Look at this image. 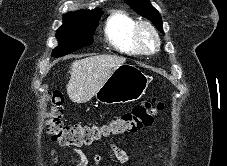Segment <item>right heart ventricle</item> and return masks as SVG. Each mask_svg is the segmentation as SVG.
Instances as JSON below:
<instances>
[{
  "label": "right heart ventricle",
  "instance_id": "obj_1",
  "mask_svg": "<svg viewBox=\"0 0 227 166\" xmlns=\"http://www.w3.org/2000/svg\"><path fill=\"white\" fill-rule=\"evenodd\" d=\"M136 24L137 20L129 13L121 10L113 12L105 22L106 40L121 53L142 54L133 40V30Z\"/></svg>",
  "mask_w": 227,
  "mask_h": 166
}]
</instances>
